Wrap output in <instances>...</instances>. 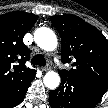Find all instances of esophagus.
I'll list each match as a JSON object with an SVG mask.
<instances>
[{
    "label": "esophagus",
    "instance_id": "1",
    "mask_svg": "<svg viewBox=\"0 0 108 108\" xmlns=\"http://www.w3.org/2000/svg\"><path fill=\"white\" fill-rule=\"evenodd\" d=\"M41 70L44 71V72H46V71L49 70V67H42Z\"/></svg>",
    "mask_w": 108,
    "mask_h": 108
}]
</instances>
